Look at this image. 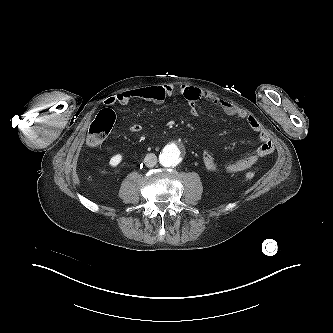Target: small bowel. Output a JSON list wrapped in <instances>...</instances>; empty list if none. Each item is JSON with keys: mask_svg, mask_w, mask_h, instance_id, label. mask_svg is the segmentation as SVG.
Wrapping results in <instances>:
<instances>
[{"mask_svg": "<svg viewBox=\"0 0 333 333\" xmlns=\"http://www.w3.org/2000/svg\"><path fill=\"white\" fill-rule=\"evenodd\" d=\"M174 93L175 88L171 84L148 86L118 93L107 98L105 100V104H127L133 100H146L155 103H161L164 102L168 97L173 96ZM180 94L187 101L192 115H197L198 113V102H206L219 108L228 116L236 117L246 121L248 126L258 134L261 141L259 147L252 154L233 161L222 169L217 165L214 157L208 151H204L202 159L205 168L209 172L217 173L223 171L228 174L243 172L253 167L260 158L269 156L274 152V144L270 135L266 132L258 119L252 114L248 113L246 110L241 109L236 105L214 96L204 90L189 85H182L180 87ZM129 130L132 133H138L142 130V127L140 124L132 123L129 126Z\"/></svg>", "mask_w": 333, "mask_h": 333, "instance_id": "1", "label": "small bowel"}]
</instances>
